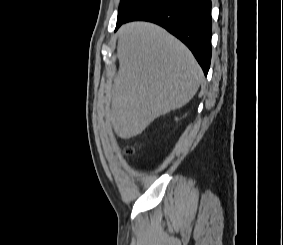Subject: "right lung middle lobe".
Listing matches in <instances>:
<instances>
[{"label": "right lung middle lobe", "mask_w": 283, "mask_h": 245, "mask_svg": "<svg viewBox=\"0 0 283 245\" xmlns=\"http://www.w3.org/2000/svg\"><path fill=\"white\" fill-rule=\"evenodd\" d=\"M147 1L148 0H120L117 24H120L122 21H124Z\"/></svg>", "instance_id": "dd1d6c3e"}]
</instances>
